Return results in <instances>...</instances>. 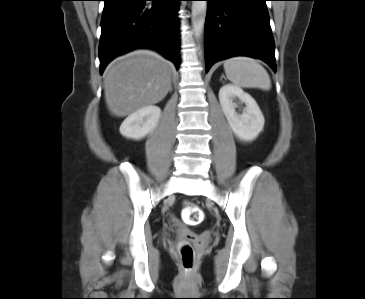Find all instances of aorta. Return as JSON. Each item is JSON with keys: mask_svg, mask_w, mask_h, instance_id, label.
<instances>
[{"mask_svg": "<svg viewBox=\"0 0 365 299\" xmlns=\"http://www.w3.org/2000/svg\"><path fill=\"white\" fill-rule=\"evenodd\" d=\"M207 1H192V31L196 39L203 33Z\"/></svg>", "mask_w": 365, "mask_h": 299, "instance_id": "aorta-1", "label": "aorta"}]
</instances>
